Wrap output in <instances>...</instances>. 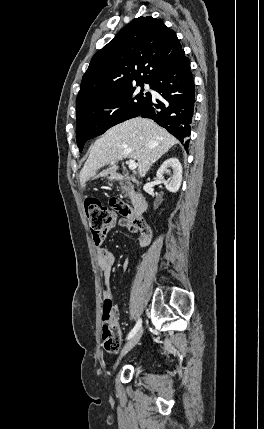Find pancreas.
I'll use <instances>...</instances> for the list:
<instances>
[{
  "instance_id": "cf45deb5",
  "label": "pancreas",
  "mask_w": 264,
  "mask_h": 429,
  "mask_svg": "<svg viewBox=\"0 0 264 429\" xmlns=\"http://www.w3.org/2000/svg\"><path fill=\"white\" fill-rule=\"evenodd\" d=\"M120 188L122 193H125V196H129L131 200H133L134 197V190L131 185H127L126 183H121Z\"/></svg>"
}]
</instances>
